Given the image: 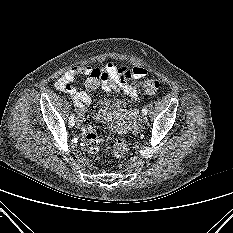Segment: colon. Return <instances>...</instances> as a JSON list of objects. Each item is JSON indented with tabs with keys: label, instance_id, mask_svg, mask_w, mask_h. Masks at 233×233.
I'll list each match as a JSON object with an SVG mask.
<instances>
[{
	"label": "colon",
	"instance_id": "colon-1",
	"mask_svg": "<svg viewBox=\"0 0 233 233\" xmlns=\"http://www.w3.org/2000/svg\"><path fill=\"white\" fill-rule=\"evenodd\" d=\"M106 80L107 75L101 69L95 68L88 75L85 85L88 90L94 91ZM136 82L141 85L143 90L149 95L154 94L159 87V83L156 80L146 76L138 78ZM83 137L87 152L90 155L95 156L100 148V140L95 127L89 118H86L84 122ZM128 151V144L123 140H117L113 146L111 157L116 159L123 158L126 156Z\"/></svg>",
	"mask_w": 233,
	"mask_h": 233
}]
</instances>
